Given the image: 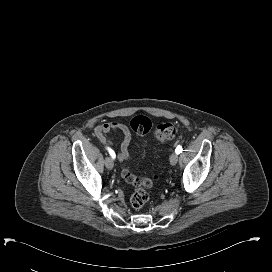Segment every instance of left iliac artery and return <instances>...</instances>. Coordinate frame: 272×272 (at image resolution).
<instances>
[{"mask_svg":"<svg viewBox=\"0 0 272 272\" xmlns=\"http://www.w3.org/2000/svg\"><path fill=\"white\" fill-rule=\"evenodd\" d=\"M183 151L182 146L178 145L175 149V153L180 154Z\"/></svg>","mask_w":272,"mask_h":272,"instance_id":"44dca946","label":"left iliac artery"}]
</instances>
